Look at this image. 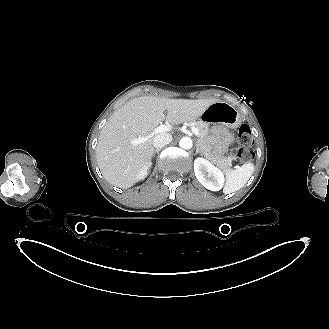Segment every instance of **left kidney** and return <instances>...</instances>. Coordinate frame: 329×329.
Returning <instances> with one entry per match:
<instances>
[{
  "label": "left kidney",
  "instance_id": "1",
  "mask_svg": "<svg viewBox=\"0 0 329 329\" xmlns=\"http://www.w3.org/2000/svg\"><path fill=\"white\" fill-rule=\"evenodd\" d=\"M194 172L197 180L211 191H219L224 186L223 172L204 158L194 160Z\"/></svg>",
  "mask_w": 329,
  "mask_h": 329
}]
</instances>
